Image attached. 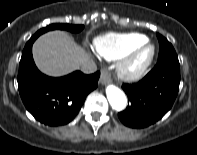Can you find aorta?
Here are the masks:
<instances>
[{"instance_id": "1", "label": "aorta", "mask_w": 197, "mask_h": 155, "mask_svg": "<svg viewBox=\"0 0 197 155\" xmlns=\"http://www.w3.org/2000/svg\"><path fill=\"white\" fill-rule=\"evenodd\" d=\"M107 99L111 107L117 111L123 110L127 105V98L122 90L114 85L106 88Z\"/></svg>"}]
</instances>
